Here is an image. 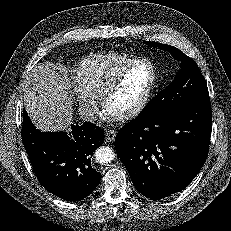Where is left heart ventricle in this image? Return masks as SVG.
<instances>
[{
  "label": "left heart ventricle",
  "mask_w": 231,
  "mask_h": 231,
  "mask_svg": "<svg viewBox=\"0 0 231 231\" xmlns=\"http://www.w3.org/2000/svg\"><path fill=\"white\" fill-rule=\"evenodd\" d=\"M151 77V69L146 64L133 69L122 86L109 98L107 110L118 113L133 106L148 88Z\"/></svg>",
  "instance_id": "obj_1"
}]
</instances>
